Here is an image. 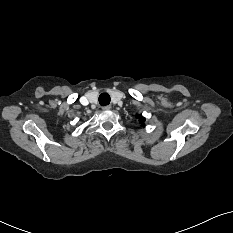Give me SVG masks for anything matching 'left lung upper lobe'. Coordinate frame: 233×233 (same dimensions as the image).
I'll return each mask as SVG.
<instances>
[{
	"mask_svg": "<svg viewBox=\"0 0 233 233\" xmlns=\"http://www.w3.org/2000/svg\"><path fill=\"white\" fill-rule=\"evenodd\" d=\"M137 117H138V116H137ZM144 121H145V118H144V117H140V118H139V122H140V123H144Z\"/></svg>",
	"mask_w": 233,
	"mask_h": 233,
	"instance_id": "1",
	"label": "left lung upper lobe"
}]
</instances>
